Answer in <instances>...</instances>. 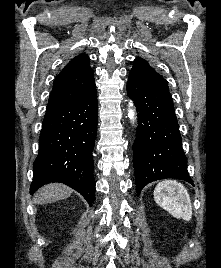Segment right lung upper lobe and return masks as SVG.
I'll return each instance as SVG.
<instances>
[{
    "instance_id": "1",
    "label": "right lung upper lobe",
    "mask_w": 221,
    "mask_h": 268,
    "mask_svg": "<svg viewBox=\"0 0 221 268\" xmlns=\"http://www.w3.org/2000/svg\"><path fill=\"white\" fill-rule=\"evenodd\" d=\"M96 90L94 73L89 57L75 56L56 76L47 108L59 107L80 101Z\"/></svg>"
}]
</instances>
